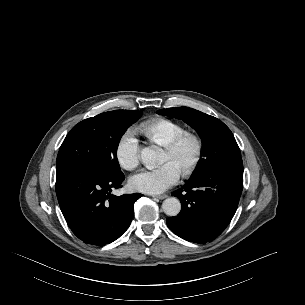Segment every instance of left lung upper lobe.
Listing matches in <instances>:
<instances>
[{
  "instance_id": "1",
  "label": "left lung upper lobe",
  "mask_w": 305,
  "mask_h": 305,
  "mask_svg": "<svg viewBox=\"0 0 305 305\" xmlns=\"http://www.w3.org/2000/svg\"><path fill=\"white\" fill-rule=\"evenodd\" d=\"M159 115L183 119L202 139L201 159L194 174L203 173L225 161L241 158L230 129L219 119L189 107L161 109Z\"/></svg>"
}]
</instances>
